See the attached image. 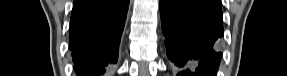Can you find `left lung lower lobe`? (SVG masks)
I'll return each instance as SVG.
<instances>
[{"label": "left lung lower lobe", "instance_id": "obj_1", "mask_svg": "<svg viewBox=\"0 0 287 76\" xmlns=\"http://www.w3.org/2000/svg\"><path fill=\"white\" fill-rule=\"evenodd\" d=\"M168 59L178 76H213L223 36L220 0H160Z\"/></svg>", "mask_w": 287, "mask_h": 76}]
</instances>
